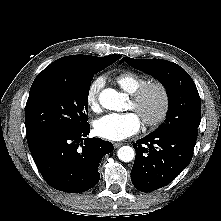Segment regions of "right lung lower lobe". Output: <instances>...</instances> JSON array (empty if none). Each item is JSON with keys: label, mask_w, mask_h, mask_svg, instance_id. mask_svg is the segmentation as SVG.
Returning <instances> with one entry per match:
<instances>
[{"label": "right lung lower lobe", "mask_w": 221, "mask_h": 221, "mask_svg": "<svg viewBox=\"0 0 221 221\" xmlns=\"http://www.w3.org/2000/svg\"><path fill=\"white\" fill-rule=\"evenodd\" d=\"M90 125L75 130H53L28 141L32 157L53 188L80 193L94 187L100 178V159L113 151L111 142L85 138Z\"/></svg>", "instance_id": "98d812e1"}]
</instances>
